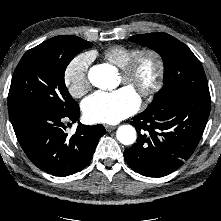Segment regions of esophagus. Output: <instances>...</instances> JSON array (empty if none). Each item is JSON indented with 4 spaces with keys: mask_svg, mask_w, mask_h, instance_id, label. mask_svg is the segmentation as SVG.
Here are the masks:
<instances>
[{
    "mask_svg": "<svg viewBox=\"0 0 221 221\" xmlns=\"http://www.w3.org/2000/svg\"><path fill=\"white\" fill-rule=\"evenodd\" d=\"M105 129H106L107 132H111L114 129H116V127L115 126H111V125H105Z\"/></svg>",
    "mask_w": 221,
    "mask_h": 221,
    "instance_id": "34e87169",
    "label": "esophagus"
}]
</instances>
